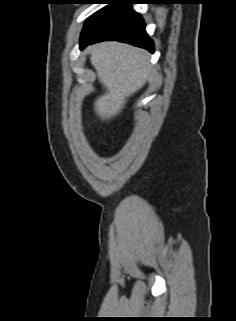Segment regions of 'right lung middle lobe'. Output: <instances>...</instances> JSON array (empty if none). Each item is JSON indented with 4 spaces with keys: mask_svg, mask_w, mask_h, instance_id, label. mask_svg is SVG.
Instances as JSON below:
<instances>
[{
    "mask_svg": "<svg viewBox=\"0 0 236 321\" xmlns=\"http://www.w3.org/2000/svg\"><path fill=\"white\" fill-rule=\"evenodd\" d=\"M93 15H94V14H93ZM93 15H92V16H93ZM92 16H91V17H92ZM91 17H90L89 19H87L86 23L91 19Z\"/></svg>",
    "mask_w": 236,
    "mask_h": 321,
    "instance_id": "dd1d6c3e",
    "label": "right lung middle lobe"
}]
</instances>
